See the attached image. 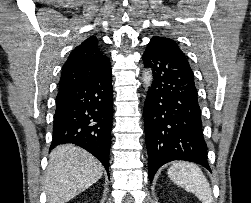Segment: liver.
<instances>
[{"mask_svg": "<svg viewBox=\"0 0 251 203\" xmlns=\"http://www.w3.org/2000/svg\"><path fill=\"white\" fill-rule=\"evenodd\" d=\"M103 175L99 161L72 144L56 147L50 154L45 179L48 203H66L88 189Z\"/></svg>", "mask_w": 251, "mask_h": 203, "instance_id": "6515ba94", "label": "liver"}]
</instances>
